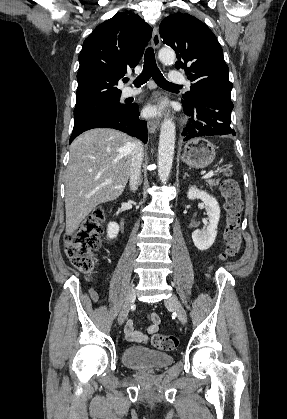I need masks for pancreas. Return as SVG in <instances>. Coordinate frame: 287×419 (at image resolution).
I'll use <instances>...</instances> for the list:
<instances>
[{
	"mask_svg": "<svg viewBox=\"0 0 287 419\" xmlns=\"http://www.w3.org/2000/svg\"><path fill=\"white\" fill-rule=\"evenodd\" d=\"M206 182H207V185H208L211 189H212V187H213V186L218 185V182H217V181L215 182V180H212V179L207 180Z\"/></svg>",
	"mask_w": 287,
	"mask_h": 419,
	"instance_id": "1",
	"label": "pancreas"
}]
</instances>
